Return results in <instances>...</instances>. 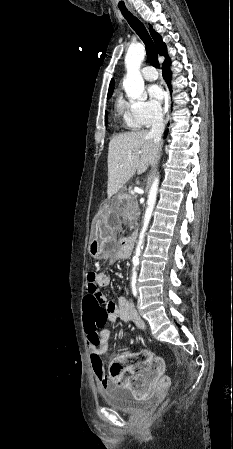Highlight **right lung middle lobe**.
Here are the masks:
<instances>
[{
	"mask_svg": "<svg viewBox=\"0 0 233 449\" xmlns=\"http://www.w3.org/2000/svg\"><path fill=\"white\" fill-rule=\"evenodd\" d=\"M112 94H108V97H110ZM106 121H107V118H106Z\"/></svg>",
	"mask_w": 233,
	"mask_h": 449,
	"instance_id": "1",
	"label": "right lung middle lobe"
}]
</instances>
